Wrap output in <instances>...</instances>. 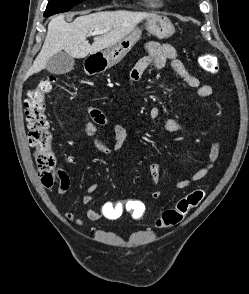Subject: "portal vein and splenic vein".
<instances>
[{
	"label": "portal vein and splenic vein",
	"instance_id": "1",
	"mask_svg": "<svg viewBox=\"0 0 249 294\" xmlns=\"http://www.w3.org/2000/svg\"><path fill=\"white\" fill-rule=\"evenodd\" d=\"M101 32H92L91 35L99 34Z\"/></svg>",
	"mask_w": 249,
	"mask_h": 294
}]
</instances>
